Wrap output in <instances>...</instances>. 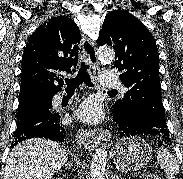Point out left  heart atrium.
Instances as JSON below:
<instances>
[{
    "instance_id": "1",
    "label": "left heart atrium",
    "mask_w": 183,
    "mask_h": 179,
    "mask_svg": "<svg viewBox=\"0 0 183 179\" xmlns=\"http://www.w3.org/2000/svg\"><path fill=\"white\" fill-rule=\"evenodd\" d=\"M100 103L93 98H88L79 106L76 116L86 123H97L102 118Z\"/></svg>"
}]
</instances>
